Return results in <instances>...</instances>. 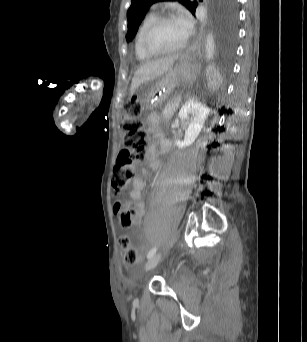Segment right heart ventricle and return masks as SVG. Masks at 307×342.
<instances>
[{
  "label": "right heart ventricle",
  "instance_id": "1",
  "mask_svg": "<svg viewBox=\"0 0 307 342\" xmlns=\"http://www.w3.org/2000/svg\"><path fill=\"white\" fill-rule=\"evenodd\" d=\"M156 16L157 13L154 9L151 8L146 10L144 14L141 16L136 28L134 39V51L136 58L142 62L150 61L152 58L142 52L140 47V38L146 25Z\"/></svg>",
  "mask_w": 307,
  "mask_h": 342
}]
</instances>
